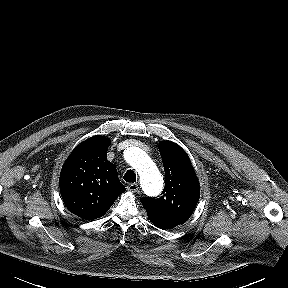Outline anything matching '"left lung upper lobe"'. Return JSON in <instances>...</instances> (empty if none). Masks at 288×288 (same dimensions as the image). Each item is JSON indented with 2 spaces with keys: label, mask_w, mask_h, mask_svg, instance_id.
<instances>
[{
  "label": "left lung upper lobe",
  "mask_w": 288,
  "mask_h": 288,
  "mask_svg": "<svg viewBox=\"0 0 288 288\" xmlns=\"http://www.w3.org/2000/svg\"><path fill=\"white\" fill-rule=\"evenodd\" d=\"M165 170V187L158 198L143 197L140 201L149 219L159 228H174L193 213L200 197L199 182L186 152L176 143L159 144Z\"/></svg>",
  "instance_id": "obj_1"
}]
</instances>
